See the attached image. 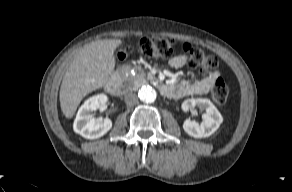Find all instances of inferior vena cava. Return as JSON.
I'll return each instance as SVG.
<instances>
[{
    "label": "inferior vena cava",
    "mask_w": 292,
    "mask_h": 192,
    "mask_svg": "<svg viewBox=\"0 0 292 192\" xmlns=\"http://www.w3.org/2000/svg\"><path fill=\"white\" fill-rule=\"evenodd\" d=\"M138 102V97L135 93L133 92H128L125 95V103L129 106L134 105Z\"/></svg>",
    "instance_id": "obj_1"
}]
</instances>
